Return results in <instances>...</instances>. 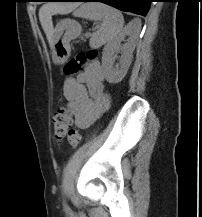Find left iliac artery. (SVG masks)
I'll use <instances>...</instances> for the list:
<instances>
[{
    "mask_svg": "<svg viewBox=\"0 0 202 217\" xmlns=\"http://www.w3.org/2000/svg\"><path fill=\"white\" fill-rule=\"evenodd\" d=\"M64 207H65V209H69L65 202H64Z\"/></svg>",
    "mask_w": 202,
    "mask_h": 217,
    "instance_id": "obj_1",
    "label": "left iliac artery"
}]
</instances>
